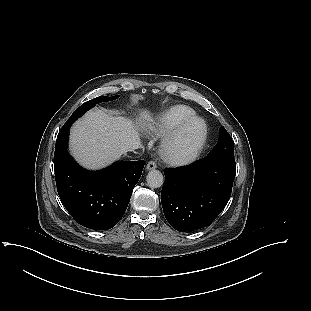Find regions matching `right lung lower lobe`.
<instances>
[{
	"label": "right lung lower lobe",
	"mask_w": 311,
	"mask_h": 311,
	"mask_svg": "<svg viewBox=\"0 0 311 311\" xmlns=\"http://www.w3.org/2000/svg\"><path fill=\"white\" fill-rule=\"evenodd\" d=\"M62 129L56 140L54 170L63 205L84 227L94 230L114 227L127 209L144 160L117 161L104 170L87 171L69 155V128Z\"/></svg>",
	"instance_id": "obj_1"
}]
</instances>
